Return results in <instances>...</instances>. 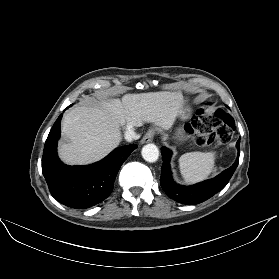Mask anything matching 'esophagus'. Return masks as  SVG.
Wrapping results in <instances>:
<instances>
[{"instance_id":"esophagus-1","label":"esophagus","mask_w":279,"mask_h":279,"mask_svg":"<svg viewBox=\"0 0 279 279\" xmlns=\"http://www.w3.org/2000/svg\"><path fill=\"white\" fill-rule=\"evenodd\" d=\"M154 136H155V130L154 129H149L147 131V133L143 136V138L141 140V143L145 144V143L152 142Z\"/></svg>"}]
</instances>
